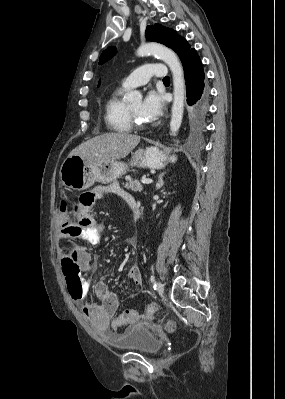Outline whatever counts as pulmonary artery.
<instances>
[{"mask_svg": "<svg viewBox=\"0 0 285 399\" xmlns=\"http://www.w3.org/2000/svg\"><path fill=\"white\" fill-rule=\"evenodd\" d=\"M168 77L167 67L163 63H146L137 68L122 80L124 88H132L145 84L150 78Z\"/></svg>", "mask_w": 285, "mask_h": 399, "instance_id": "obj_1", "label": "pulmonary artery"}]
</instances>
